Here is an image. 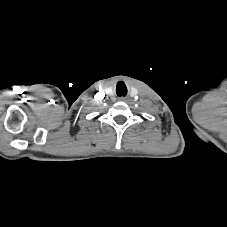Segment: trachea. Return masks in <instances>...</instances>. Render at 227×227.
I'll use <instances>...</instances> for the list:
<instances>
[{
  "label": "trachea",
  "mask_w": 227,
  "mask_h": 227,
  "mask_svg": "<svg viewBox=\"0 0 227 227\" xmlns=\"http://www.w3.org/2000/svg\"><path fill=\"white\" fill-rule=\"evenodd\" d=\"M126 93H127L126 87H124V88H122V89H119V88H118V90H117V94H118L119 96H125Z\"/></svg>",
  "instance_id": "1"
}]
</instances>
